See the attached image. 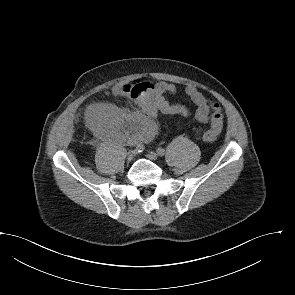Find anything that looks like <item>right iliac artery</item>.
Returning a JSON list of instances; mask_svg holds the SVG:
<instances>
[{"mask_svg":"<svg viewBox=\"0 0 295 295\" xmlns=\"http://www.w3.org/2000/svg\"><path fill=\"white\" fill-rule=\"evenodd\" d=\"M143 150V147L141 145H137L136 152H141Z\"/></svg>","mask_w":295,"mask_h":295,"instance_id":"obj_1","label":"right iliac artery"}]
</instances>
